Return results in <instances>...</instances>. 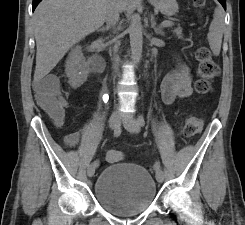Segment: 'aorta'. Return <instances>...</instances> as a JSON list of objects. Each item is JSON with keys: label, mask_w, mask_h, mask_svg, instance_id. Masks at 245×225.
I'll list each match as a JSON object with an SVG mask.
<instances>
[{"label": "aorta", "mask_w": 245, "mask_h": 225, "mask_svg": "<svg viewBox=\"0 0 245 225\" xmlns=\"http://www.w3.org/2000/svg\"><path fill=\"white\" fill-rule=\"evenodd\" d=\"M130 36L131 56L135 63H139L142 58L143 47V27L140 16L134 14L131 16L130 26L128 29Z\"/></svg>", "instance_id": "obj_1"}]
</instances>
